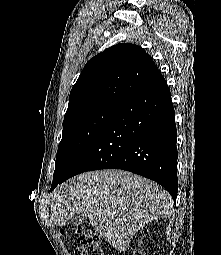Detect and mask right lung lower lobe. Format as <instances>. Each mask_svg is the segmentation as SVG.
<instances>
[{"label": "right lung lower lobe", "instance_id": "98d812e1", "mask_svg": "<svg viewBox=\"0 0 221 255\" xmlns=\"http://www.w3.org/2000/svg\"><path fill=\"white\" fill-rule=\"evenodd\" d=\"M165 79L148 85L119 105L88 149L55 185L98 169L130 171L162 185L176 200L177 130Z\"/></svg>", "mask_w": 221, "mask_h": 255}]
</instances>
